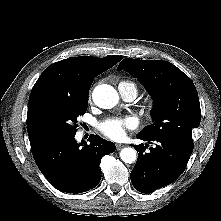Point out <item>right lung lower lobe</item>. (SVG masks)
Returning a JSON list of instances; mask_svg holds the SVG:
<instances>
[{"mask_svg":"<svg viewBox=\"0 0 221 221\" xmlns=\"http://www.w3.org/2000/svg\"><path fill=\"white\" fill-rule=\"evenodd\" d=\"M75 135L46 140L32 146L34 160L46 179L67 193L86 192L101 180L100 160L115 151L114 143L98 135L90 144H78Z\"/></svg>","mask_w":221,"mask_h":221,"instance_id":"obj_1","label":"right lung lower lobe"}]
</instances>
